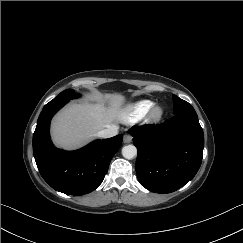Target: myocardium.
<instances>
[{"label": "myocardium", "instance_id": "myocardium-1", "mask_svg": "<svg viewBox=\"0 0 243 243\" xmlns=\"http://www.w3.org/2000/svg\"><path fill=\"white\" fill-rule=\"evenodd\" d=\"M164 115V108L160 105L154 106L148 114V121L150 122H158L162 119Z\"/></svg>", "mask_w": 243, "mask_h": 243}]
</instances>
